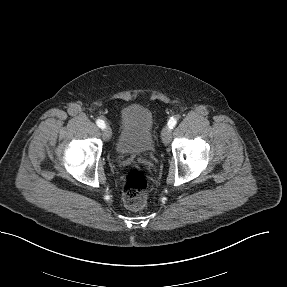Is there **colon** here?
<instances>
[{
  "instance_id": "obj_1",
  "label": "colon",
  "mask_w": 287,
  "mask_h": 287,
  "mask_svg": "<svg viewBox=\"0 0 287 287\" xmlns=\"http://www.w3.org/2000/svg\"><path fill=\"white\" fill-rule=\"evenodd\" d=\"M149 179L147 173L138 166L130 167L124 176L123 200L133 210L142 208L147 200Z\"/></svg>"
}]
</instances>
